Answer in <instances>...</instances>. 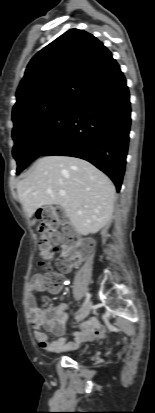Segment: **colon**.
I'll return each mask as SVG.
<instances>
[{
    "label": "colon",
    "instance_id": "obj_1",
    "mask_svg": "<svg viewBox=\"0 0 155 413\" xmlns=\"http://www.w3.org/2000/svg\"><path fill=\"white\" fill-rule=\"evenodd\" d=\"M38 217L39 247L41 254L48 262L54 254L55 249L61 245L63 253L58 259L55 271L53 267L46 266L43 283L50 292H58L63 285L61 271L68 268L87 251L85 244L78 243V239L71 227L64 222L63 211L57 206H38L35 210Z\"/></svg>",
    "mask_w": 155,
    "mask_h": 413
}]
</instances>
